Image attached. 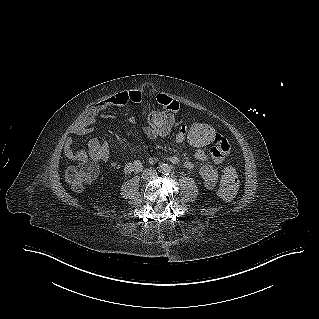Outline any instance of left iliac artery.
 Listing matches in <instances>:
<instances>
[{"instance_id": "1", "label": "left iliac artery", "mask_w": 319, "mask_h": 319, "mask_svg": "<svg viewBox=\"0 0 319 319\" xmlns=\"http://www.w3.org/2000/svg\"><path fill=\"white\" fill-rule=\"evenodd\" d=\"M170 171H171V170H170L169 168H167L163 174H164V175H169V174H170Z\"/></svg>"}]
</instances>
